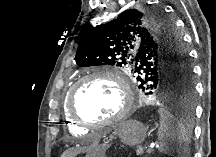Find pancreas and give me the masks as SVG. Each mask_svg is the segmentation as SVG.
Instances as JSON below:
<instances>
[{"label": "pancreas", "mask_w": 216, "mask_h": 157, "mask_svg": "<svg viewBox=\"0 0 216 157\" xmlns=\"http://www.w3.org/2000/svg\"><path fill=\"white\" fill-rule=\"evenodd\" d=\"M137 155H140V154H142L143 153V149L142 148H140V149H137ZM148 152V151H147ZM148 153H150V152H148Z\"/></svg>", "instance_id": "1"}]
</instances>
